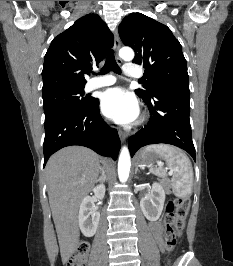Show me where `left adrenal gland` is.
Returning a JSON list of instances; mask_svg holds the SVG:
<instances>
[{
	"mask_svg": "<svg viewBox=\"0 0 233 266\" xmlns=\"http://www.w3.org/2000/svg\"><path fill=\"white\" fill-rule=\"evenodd\" d=\"M139 171L138 166L135 168V174Z\"/></svg>",
	"mask_w": 233,
	"mask_h": 266,
	"instance_id": "obj_1",
	"label": "left adrenal gland"
}]
</instances>
